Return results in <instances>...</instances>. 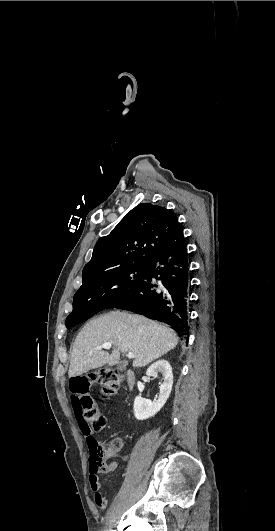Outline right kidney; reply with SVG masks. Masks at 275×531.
<instances>
[{
  "label": "right kidney",
  "mask_w": 275,
  "mask_h": 531,
  "mask_svg": "<svg viewBox=\"0 0 275 531\" xmlns=\"http://www.w3.org/2000/svg\"><path fill=\"white\" fill-rule=\"evenodd\" d=\"M159 371H161L164 381L160 383V393L158 401H149V399H142V397H135L134 401V417L138 421H145V419H150L154 417L162 407H164L167 399L170 397V393L173 387V373L172 367L168 361L165 359H160L153 363L149 369L146 371L147 377H157Z\"/></svg>",
  "instance_id": "right-kidney-1"
}]
</instances>
